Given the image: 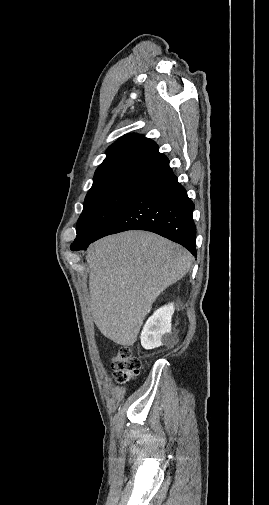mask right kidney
<instances>
[{"instance_id":"right-kidney-1","label":"right kidney","mask_w":269,"mask_h":505,"mask_svg":"<svg viewBox=\"0 0 269 505\" xmlns=\"http://www.w3.org/2000/svg\"><path fill=\"white\" fill-rule=\"evenodd\" d=\"M174 313V304H168L156 310L148 318L141 333V344L145 349L159 347L172 337L171 318Z\"/></svg>"}]
</instances>
